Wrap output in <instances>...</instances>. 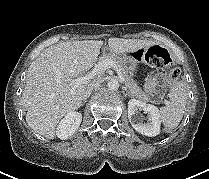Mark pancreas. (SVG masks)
<instances>
[{
  "instance_id": "1",
  "label": "pancreas",
  "mask_w": 209,
  "mask_h": 179,
  "mask_svg": "<svg viewBox=\"0 0 209 179\" xmlns=\"http://www.w3.org/2000/svg\"><path fill=\"white\" fill-rule=\"evenodd\" d=\"M106 59H110L114 62L115 67L120 71L125 86L127 88L128 93L141 101H149V96L137 85L136 81H134L131 76L126 71L122 58L113 54H106L105 56L100 58V62H103Z\"/></svg>"
}]
</instances>
